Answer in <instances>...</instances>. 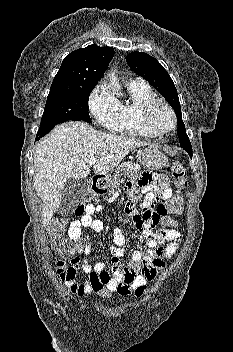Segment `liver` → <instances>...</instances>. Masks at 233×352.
Here are the masks:
<instances>
[{
	"mask_svg": "<svg viewBox=\"0 0 233 352\" xmlns=\"http://www.w3.org/2000/svg\"><path fill=\"white\" fill-rule=\"evenodd\" d=\"M145 143L136 139L99 132L83 122L56 126L36 148L33 177L37 195L43 201L42 224L47 226L61 201L68 179L85 178L95 157L94 172L106 175L133 149Z\"/></svg>",
	"mask_w": 233,
	"mask_h": 352,
	"instance_id": "1",
	"label": "liver"
}]
</instances>
